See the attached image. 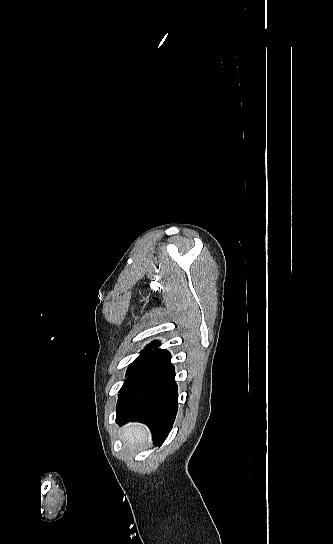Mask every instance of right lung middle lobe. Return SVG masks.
Returning a JSON list of instances; mask_svg holds the SVG:
<instances>
[{
    "instance_id": "obj_1",
    "label": "right lung middle lobe",
    "mask_w": 333,
    "mask_h": 544,
    "mask_svg": "<svg viewBox=\"0 0 333 544\" xmlns=\"http://www.w3.org/2000/svg\"><path fill=\"white\" fill-rule=\"evenodd\" d=\"M149 353H150V349L143 350L142 354L134 362H132L129 365V367L127 369V373H126L127 379H126L125 383L136 372L138 367L144 362V360L147 358ZM125 383L123 384V386L125 385Z\"/></svg>"
}]
</instances>
